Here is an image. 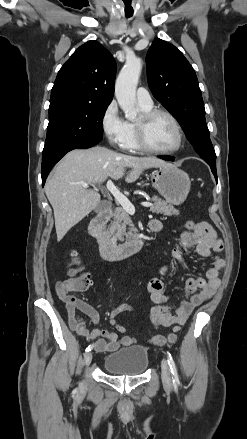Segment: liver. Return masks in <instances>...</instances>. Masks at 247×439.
<instances>
[{
  "instance_id": "obj_1",
  "label": "liver",
  "mask_w": 247,
  "mask_h": 439,
  "mask_svg": "<svg viewBox=\"0 0 247 439\" xmlns=\"http://www.w3.org/2000/svg\"><path fill=\"white\" fill-rule=\"evenodd\" d=\"M155 157H136L114 152L105 147L76 149L65 155L47 179L45 193L53 207L57 240L87 216L100 203V194L82 183H102L108 177L136 181L143 170L170 166Z\"/></svg>"
}]
</instances>
